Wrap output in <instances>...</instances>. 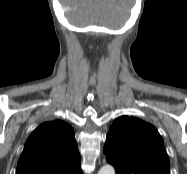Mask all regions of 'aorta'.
<instances>
[{"mask_svg": "<svg viewBox=\"0 0 187 174\" xmlns=\"http://www.w3.org/2000/svg\"><path fill=\"white\" fill-rule=\"evenodd\" d=\"M98 174H115V169L111 165H105L99 170Z\"/></svg>", "mask_w": 187, "mask_h": 174, "instance_id": "aorta-1", "label": "aorta"}]
</instances>
